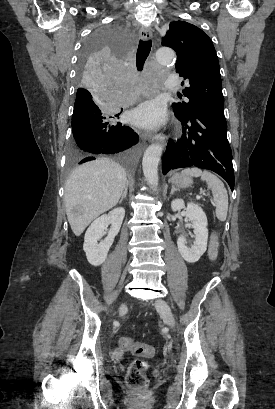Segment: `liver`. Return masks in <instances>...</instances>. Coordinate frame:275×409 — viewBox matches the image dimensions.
<instances>
[{"label": "liver", "mask_w": 275, "mask_h": 409, "mask_svg": "<svg viewBox=\"0 0 275 409\" xmlns=\"http://www.w3.org/2000/svg\"><path fill=\"white\" fill-rule=\"evenodd\" d=\"M125 168L111 158H96L76 166L65 186V207L69 225L76 237L86 227L117 202L127 184ZM83 209L82 215H72L74 207Z\"/></svg>", "instance_id": "6515ba94"}]
</instances>
